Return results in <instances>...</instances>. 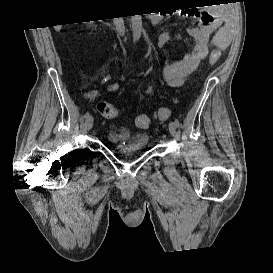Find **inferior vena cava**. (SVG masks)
<instances>
[{
    "label": "inferior vena cava",
    "mask_w": 273,
    "mask_h": 273,
    "mask_svg": "<svg viewBox=\"0 0 273 273\" xmlns=\"http://www.w3.org/2000/svg\"><path fill=\"white\" fill-rule=\"evenodd\" d=\"M113 22H114L117 33L123 36L125 34V26H124L123 17L114 18Z\"/></svg>",
    "instance_id": "602c4592"
}]
</instances>
